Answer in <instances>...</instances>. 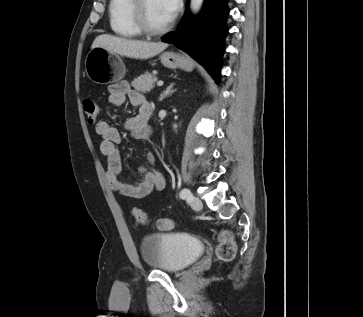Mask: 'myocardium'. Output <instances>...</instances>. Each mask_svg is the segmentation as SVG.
I'll return each mask as SVG.
<instances>
[{
    "instance_id": "obj_1",
    "label": "myocardium",
    "mask_w": 363,
    "mask_h": 317,
    "mask_svg": "<svg viewBox=\"0 0 363 317\" xmlns=\"http://www.w3.org/2000/svg\"><path fill=\"white\" fill-rule=\"evenodd\" d=\"M145 3L146 0H132L131 4V18L135 27L147 36H159L171 28V22L161 28L151 27L145 17Z\"/></svg>"
}]
</instances>
